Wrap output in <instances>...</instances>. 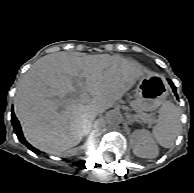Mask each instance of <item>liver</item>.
Returning <instances> with one entry per match:
<instances>
[{
	"instance_id": "6515ba94",
	"label": "liver",
	"mask_w": 194,
	"mask_h": 193,
	"mask_svg": "<svg viewBox=\"0 0 194 193\" xmlns=\"http://www.w3.org/2000/svg\"><path fill=\"white\" fill-rule=\"evenodd\" d=\"M142 75L141 67L120 56H43L21 78L14 100L25 138L46 153L66 152L86 135L90 111L112 107ZM74 81L91 97L85 93L69 103L64 100L77 91Z\"/></svg>"
}]
</instances>
